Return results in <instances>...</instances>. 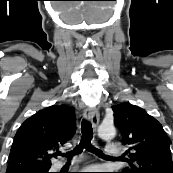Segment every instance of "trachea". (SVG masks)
Listing matches in <instances>:
<instances>
[{"instance_id": "3493384b", "label": "trachea", "mask_w": 173, "mask_h": 173, "mask_svg": "<svg viewBox=\"0 0 173 173\" xmlns=\"http://www.w3.org/2000/svg\"><path fill=\"white\" fill-rule=\"evenodd\" d=\"M81 133H82V136H81L79 145L74 150L64 155L68 159H71L74 155L81 153L83 149L86 148V150L93 152L97 154L98 156H104L102 151H100L99 149H96L95 147L91 145V140L93 137V129H92V125L86 120L82 121ZM57 155H61V153H58Z\"/></svg>"}]
</instances>
